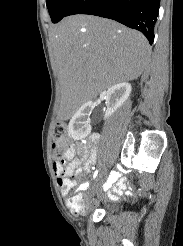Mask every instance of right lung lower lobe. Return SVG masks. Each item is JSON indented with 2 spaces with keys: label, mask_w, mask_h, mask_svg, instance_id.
I'll list each match as a JSON object with an SVG mask.
<instances>
[{
  "label": "right lung lower lobe",
  "mask_w": 183,
  "mask_h": 246,
  "mask_svg": "<svg viewBox=\"0 0 183 246\" xmlns=\"http://www.w3.org/2000/svg\"><path fill=\"white\" fill-rule=\"evenodd\" d=\"M159 5L160 0H77L66 16L90 14L113 19L142 32L152 44Z\"/></svg>",
  "instance_id": "1"
}]
</instances>
